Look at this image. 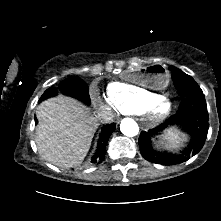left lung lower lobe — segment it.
<instances>
[{
	"label": "left lung lower lobe",
	"instance_id": "1",
	"mask_svg": "<svg viewBox=\"0 0 221 221\" xmlns=\"http://www.w3.org/2000/svg\"><path fill=\"white\" fill-rule=\"evenodd\" d=\"M176 126L184 130L190 140L187 146L177 154L160 152L154 149L152 141L168 128ZM209 129V115L205 95L186 97L182 100L177 113L148 132L142 131L138 143L142 156L153 163L175 165L187 161L204 146ZM166 160V164H163Z\"/></svg>",
	"mask_w": 221,
	"mask_h": 221
}]
</instances>
